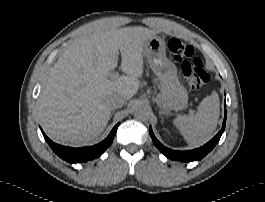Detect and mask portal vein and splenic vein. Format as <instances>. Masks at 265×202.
Instances as JSON below:
<instances>
[{"mask_svg": "<svg viewBox=\"0 0 265 202\" xmlns=\"http://www.w3.org/2000/svg\"><path fill=\"white\" fill-rule=\"evenodd\" d=\"M119 76V73L118 72H114L112 74H110V79H115Z\"/></svg>", "mask_w": 265, "mask_h": 202, "instance_id": "portal-vein-and-splenic-vein-1", "label": "portal vein and splenic vein"}]
</instances>
